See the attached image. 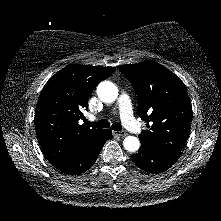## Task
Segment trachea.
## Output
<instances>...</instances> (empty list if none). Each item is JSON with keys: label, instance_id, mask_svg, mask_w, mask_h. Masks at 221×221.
<instances>
[{"label": "trachea", "instance_id": "trachea-1", "mask_svg": "<svg viewBox=\"0 0 221 221\" xmlns=\"http://www.w3.org/2000/svg\"><path fill=\"white\" fill-rule=\"evenodd\" d=\"M86 124L88 126H91V127H98V128H107V127H110V123L108 122V120L106 119H102V120H99L97 122H89L87 121ZM111 128L115 131H120L122 130V126L120 123L118 122H114L112 123L111 125Z\"/></svg>", "mask_w": 221, "mask_h": 221}]
</instances>
